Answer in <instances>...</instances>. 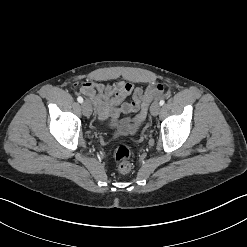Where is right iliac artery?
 Returning a JSON list of instances; mask_svg holds the SVG:
<instances>
[{
  "mask_svg": "<svg viewBox=\"0 0 247 247\" xmlns=\"http://www.w3.org/2000/svg\"><path fill=\"white\" fill-rule=\"evenodd\" d=\"M77 101H78L79 103H83V98H82L81 96H79V97L77 98Z\"/></svg>",
  "mask_w": 247,
  "mask_h": 247,
  "instance_id": "right-iliac-artery-1",
  "label": "right iliac artery"
}]
</instances>
